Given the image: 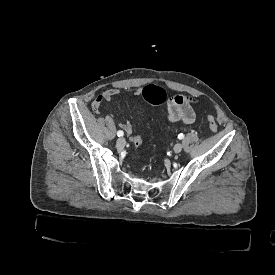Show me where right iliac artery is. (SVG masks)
I'll return each mask as SVG.
<instances>
[{
    "mask_svg": "<svg viewBox=\"0 0 275 275\" xmlns=\"http://www.w3.org/2000/svg\"><path fill=\"white\" fill-rule=\"evenodd\" d=\"M123 135H124L123 131L120 130V131L117 132L118 137H122Z\"/></svg>",
    "mask_w": 275,
    "mask_h": 275,
    "instance_id": "1",
    "label": "right iliac artery"
}]
</instances>
